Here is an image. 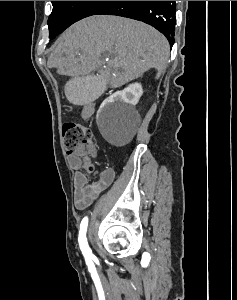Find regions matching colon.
Returning a JSON list of instances; mask_svg holds the SVG:
<instances>
[{"instance_id": "obj_1", "label": "colon", "mask_w": 237, "mask_h": 300, "mask_svg": "<svg viewBox=\"0 0 237 300\" xmlns=\"http://www.w3.org/2000/svg\"><path fill=\"white\" fill-rule=\"evenodd\" d=\"M63 139L67 153L72 155H84L92 146L91 130L76 122H68L63 126ZM84 169L88 172L94 170L88 159L84 162Z\"/></svg>"}]
</instances>
